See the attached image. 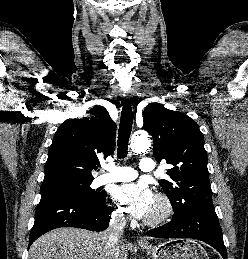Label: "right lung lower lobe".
Segmentation results:
<instances>
[{"instance_id":"98d812e1","label":"right lung lower lobe","mask_w":248,"mask_h":259,"mask_svg":"<svg viewBox=\"0 0 248 259\" xmlns=\"http://www.w3.org/2000/svg\"><path fill=\"white\" fill-rule=\"evenodd\" d=\"M106 193L98 199L78 198L70 195L41 196L29 246L42 234L59 227H77L102 231L108 227L113 208L106 205Z\"/></svg>"}]
</instances>
